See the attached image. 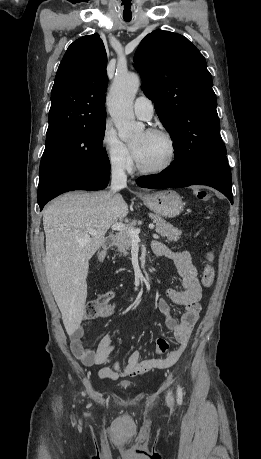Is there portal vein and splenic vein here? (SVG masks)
<instances>
[{
	"instance_id": "portal-vein-and-splenic-vein-1",
	"label": "portal vein and splenic vein",
	"mask_w": 261,
	"mask_h": 459,
	"mask_svg": "<svg viewBox=\"0 0 261 459\" xmlns=\"http://www.w3.org/2000/svg\"><path fill=\"white\" fill-rule=\"evenodd\" d=\"M154 227H155L154 224H149L150 229H154ZM112 230H117V231L126 230L129 236L131 237V239H139V233H140L139 228L132 229V228L127 227L123 223L117 222L112 225ZM95 234H96V230L90 229L83 238H78L77 241L80 244V246H84L89 241L90 235H95Z\"/></svg>"
}]
</instances>
